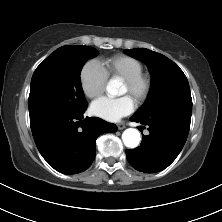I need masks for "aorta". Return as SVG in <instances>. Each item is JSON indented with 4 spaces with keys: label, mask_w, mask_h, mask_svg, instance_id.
Listing matches in <instances>:
<instances>
[{
    "label": "aorta",
    "mask_w": 222,
    "mask_h": 222,
    "mask_svg": "<svg viewBox=\"0 0 222 222\" xmlns=\"http://www.w3.org/2000/svg\"><path fill=\"white\" fill-rule=\"evenodd\" d=\"M106 89L110 95L115 96L118 94L119 85L114 81H110ZM140 139L141 138L139 131L134 128L126 129L122 134V140L124 145L131 149H134L139 145Z\"/></svg>",
    "instance_id": "1"
}]
</instances>
